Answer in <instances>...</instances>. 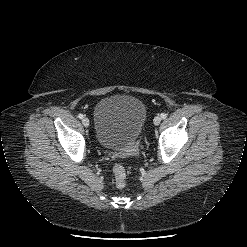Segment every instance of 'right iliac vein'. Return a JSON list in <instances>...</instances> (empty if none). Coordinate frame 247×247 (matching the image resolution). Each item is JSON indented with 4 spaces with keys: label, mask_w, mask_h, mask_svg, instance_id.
<instances>
[{
    "label": "right iliac vein",
    "mask_w": 247,
    "mask_h": 247,
    "mask_svg": "<svg viewBox=\"0 0 247 247\" xmlns=\"http://www.w3.org/2000/svg\"><path fill=\"white\" fill-rule=\"evenodd\" d=\"M82 124L85 126V127H88L90 122H89V119L87 117H84L82 119Z\"/></svg>",
    "instance_id": "right-iliac-vein-1"
}]
</instances>
